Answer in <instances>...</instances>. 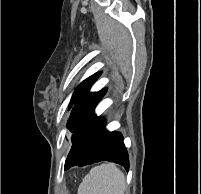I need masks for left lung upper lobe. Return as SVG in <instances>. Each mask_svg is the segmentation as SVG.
<instances>
[{"label": "left lung upper lobe", "instance_id": "5c2ea615", "mask_svg": "<svg viewBox=\"0 0 201 194\" xmlns=\"http://www.w3.org/2000/svg\"><path fill=\"white\" fill-rule=\"evenodd\" d=\"M99 76L100 73L93 74L81 82L73 93L71 106L73 104L75 106L68 120L67 128L74 134L95 115L94 109L106 93V89L93 93L89 92V88Z\"/></svg>", "mask_w": 201, "mask_h": 194}]
</instances>
